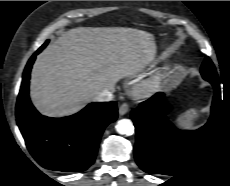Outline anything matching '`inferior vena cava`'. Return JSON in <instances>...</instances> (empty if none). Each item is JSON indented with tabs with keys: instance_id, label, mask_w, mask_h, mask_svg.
<instances>
[{
	"instance_id": "1",
	"label": "inferior vena cava",
	"mask_w": 230,
	"mask_h": 186,
	"mask_svg": "<svg viewBox=\"0 0 230 186\" xmlns=\"http://www.w3.org/2000/svg\"><path fill=\"white\" fill-rule=\"evenodd\" d=\"M114 91V89L109 90V89H105L101 92H99L95 97L94 100L95 101H100V102H108L111 101L113 99V94L112 92Z\"/></svg>"
}]
</instances>
